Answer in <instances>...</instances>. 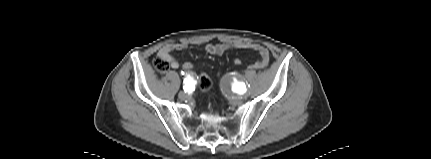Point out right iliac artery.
<instances>
[{
	"label": "right iliac artery",
	"instance_id": "1",
	"mask_svg": "<svg viewBox=\"0 0 431 159\" xmlns=\"http://www.w3.org/2000/svg\"><path fill=\"white\" fill-rule=\"evenodd\" d=\"M194 84H195V82L193 81V78L188 75L184 79V86H183L184 91L185 92H192L194 89Z\"/></svg>",
	"mask_w": 431,
	"mask_h": 159
}]
</instances>
